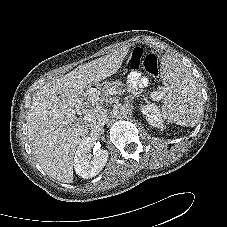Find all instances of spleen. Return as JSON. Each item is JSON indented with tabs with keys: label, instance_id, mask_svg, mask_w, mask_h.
<instances>
[{
	"label": "spleen",
	"instance_id": "1",
	"mask_svg": "<svg viewBox=\"0 0 227 227\" xmlns=\"http://www.w3.org/2000/svg\"><path fill=\"white\" fill-rule=\"evenodd\" d=\"M162 91L152 97L162 98V116L181 126H195L203 113V100L195 79L178 60L165 56L161 62Z\"/></svg>",
	"mask_w": 227,
	"mask_h": 227
}]
</instances>
